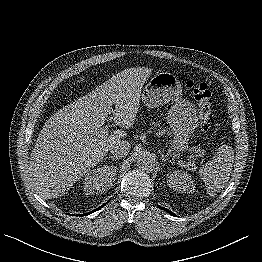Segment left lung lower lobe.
<instances>
[{
    "mask_svg": "<svg viewBox=\"0 0 262 262\" xmlns=\"http://www.w3.org/2000/svg\"><path fill=\"white\" fill-rule=\"evenodd\" d=\"M159 208H161V209H163V210L167 211L168 213H170L171 215H173V216H174V214H173L172 212H170L169 210H167V209H165V208H162V207H160V206H159Z\"/></svg>",
    "mask_w": 262,
    "mask_h": 262,
    "instance_id": "0a47b994",
    "label": "left lung lower lobe"
}]
</instances>
